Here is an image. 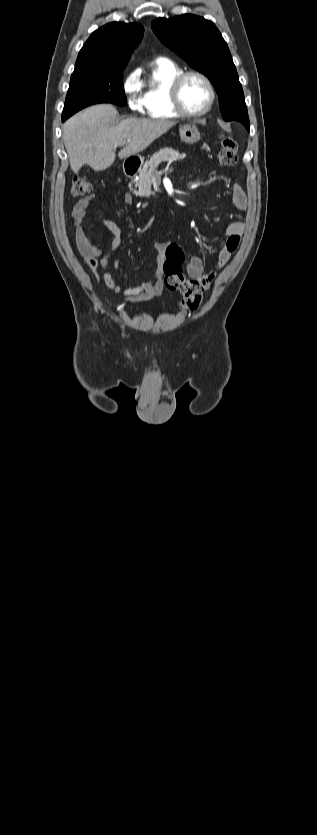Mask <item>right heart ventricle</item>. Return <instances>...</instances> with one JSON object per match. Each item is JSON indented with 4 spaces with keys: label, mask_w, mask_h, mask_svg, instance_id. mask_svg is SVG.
Returning <instances> with one entry per match:
<instances>
[{
    "label": "right heart ventricle",
    "mask_w": 317,
    "mask_h": 835,
    "mask_svg": "<svg viewBox=\"0 0 317 835\" xmlns=\"http://www.w3.org/2000/svg\"><path fill=\"white\" fill-rule=\"evenodd\" d=\"M182 71L181 67L171 60L154 61L149 81L142 95L146 114L150 118L166 120L181 116L172 104L170 86L174 78Z\"/></svg>",
    "instance_id": "1"
}]
</instances>
